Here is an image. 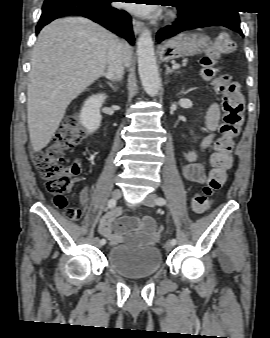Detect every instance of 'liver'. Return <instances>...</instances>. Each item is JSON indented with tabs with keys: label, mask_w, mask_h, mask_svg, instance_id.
I'll list each match as a JSON object with an SVG mask.
<instances>
[{
	"label": "liver",
	"mask_w": 270,
	"mask_h": 338,
	"mask_svg": "<svg viewBox=\"0 0 270 338\" xmlns=\"http://www.w3.org/2000/svg\"><path fill=\"white\" fill-rule=\"evenodd\" d=\"M115 35L83 17L57 19L38 35L27 85V120L33 150L45 148L68 105L105 74ZM127 65L131 47L125 43Z\"/></svg>",
	"instance_id": "liver-1"
}]
</instances>
